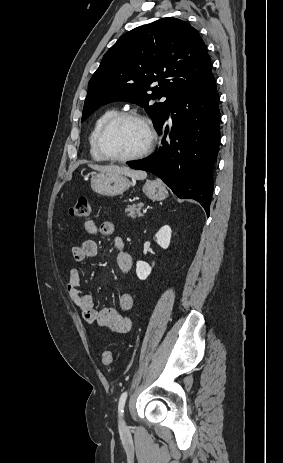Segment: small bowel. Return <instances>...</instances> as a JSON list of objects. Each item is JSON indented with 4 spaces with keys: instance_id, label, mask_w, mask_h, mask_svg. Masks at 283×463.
Masks as SVG:
<instances>
[{
    "instance_id": "small-bowel-1",
    "label": "small bowel",
    "mask_w": 283,
    "mask_h": 463,
    "mask_svg": "<svg viewBox=\"0 0 283 463\" xmlns=\"http://www.w3.org/2000/svg\"><path fill=\"white\" fill-rule=\"evenodd\" d=\"M85 231L91 235L113 236L114 246L117 249L116 262L121 273L126 274L132 266L131 256L125 251L122 237L116 235L115 225L112 222H103L100 226L93 220L84 224ZM98 252L97 243L93 240H86L79 246L71 249L73 259L84 263L87 259L96 256ZM81 276L77 268L70 269L67 280V292L70 299L75 303L82 313L86 323L98 327L107 328L112 332L127 333L132 327L131 319L126 313L132 309L134 298L131 294H123L117 307L97 309L90 295L80 289Z\"/></svg>"
}]
</instances>
